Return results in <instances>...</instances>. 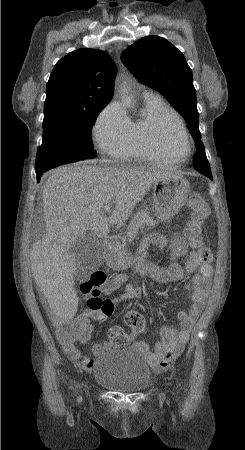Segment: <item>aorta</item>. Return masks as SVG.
Here are the masks:
<instances>
[{"label":"aorta","instance_id":"aorta-1","mask_svg":"<svg viewBox=\"0 0 245 450\" xmlns=\"http://www.w3.org/2000/svg\"><path fill=\"white\" fill-rule=\"evenodd\" d=\"M120 92H121L122 95H125L126 94V88L124 86L121 87Z\"/></svg>","mask_w":245,"mask_h":450}]
</instances>
